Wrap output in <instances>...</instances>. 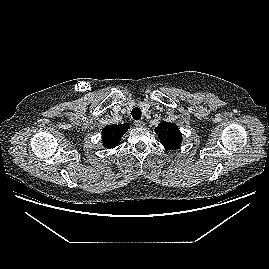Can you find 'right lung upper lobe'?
Here are the masks:
<instances>
[{
    "label": "right lung upper lobe",
    "mask_w": 269,
    "mask_h": 269,
    "mask_svg": "<svg viewBox=\"0 0 269 269\" xmlns=\"http://www.w3.org/2000/svg\"><path fill=\"white\" fill-rule=\"evenodd\" d=\"M129 129L128 124L108 125L102 131V141L106 148L115 147L124 133Z\"/></svg>",
    "instance_id": "right-lung-upper-lobe-1"
}]
</instances>
